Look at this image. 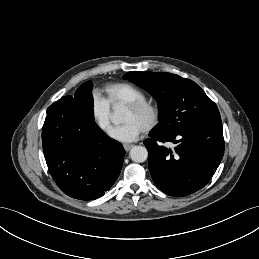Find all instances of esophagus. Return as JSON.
I'll use <instances>...</instances> for the list:
<instances>
[{"label":"esophagus","instance_id":"34e87169","mask_svg":"<svg viewBox=\"0 0 259 259\" xmlns=\"http://www.w3.org/2000/svg\"><path fill=\"white\" fill-rule=\"evenodd\" d=\"M123 146H124L125 151H127V152L133 147V145H130V144H124Z\"/></svg>","mask_w":259,"mask_h":259}]
</instances>
